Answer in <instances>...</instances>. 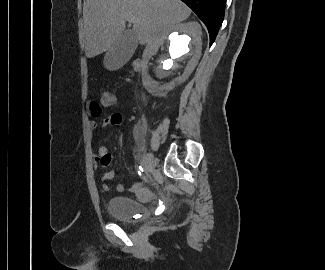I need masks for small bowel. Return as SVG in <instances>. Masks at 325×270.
I'll list each match as a JSON object with an SVG mask.
<instances>
[{
  "instance_id": "obj_1",
  "label": "small bowel",
  "mask_w": 325,
  "mask_h": 270,
  "mask_svg": "<svg viewBox=\"0 0 325 270\" xmlns=\"http://www.w3.org/2000/svg\"><path fill=\"white\" fill-rule=\"evenodd\" d=\"M102 96H113L110 92H105ZM114 103H100L99 101H91L88 106L89 114L92 118H98L101 116L105 108L113 106ZM122 122V114L119 112H114L109 116L105 117L102 125L104 127H116ZM89 128L91 133H94L98 128V123L95 120H91L89 123ZM114 160V156L109 153L105 145H100L97 154L94 155V162L97 166L107 168L111 165ZM115 174L113 171L106 172L100 176V181L102 189L104 191H109L110 186L107 183L108 180L114 178ZM116 190L120 193L124 192L125 187L119 184ZM130 191L134 193L140 200L149 201L152 197L149 190L145 189L141 182H136L130 187Z\"/></svg>"
}]
</instances>
